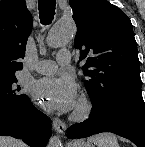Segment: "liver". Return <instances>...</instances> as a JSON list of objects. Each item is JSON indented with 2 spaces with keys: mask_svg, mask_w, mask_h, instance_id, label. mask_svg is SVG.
Masks as SVG:
<instances>
[{
  "mask_svg": "<svg viewBox=\"0 0 145 147\" xmlns=\"http://www.w3.org/2000/svg\"><path fill=\"white\" fill-rule=\"evenodd\" d=\"M0 147H27L22 141L0 136Z\"/></svg>",
  "mask_w": 145,
  "mask_h": 147,
  "instance_id": "6515ba94",
  "label": "liver"
}]
</instances>
